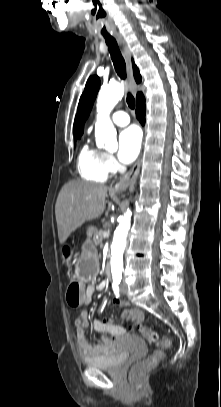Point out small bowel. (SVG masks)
<instances>
[{"mask_svg": "<svg viewBox=\"0 0 221 407\" xmlns=\"http://www.w3.org/2000/svg\"><path fill=\"white\" fill-rule=\"evenodd\" d=\"M95 291L96 287L93 284L86 286L84 290L85 297L82 303L83 305H87L91 302ZM113 302L121 307L128 306L127 302L117 297L113 300ZM137 311L139 310L135 309V312ZM139 312L142 313L141 311ZM74 324L76 327V343L78 350L81 357L85 360L94 359L109 354L115 348L116 340L126 334V329L121 325H118L109 319H96L93 323L94 328L97 332L103 335V339L101 344L91 345L85 337V329L89 325V315L87 311H82L75 319ZM132 325L129 327V330L134 329Z\"/></svg>", "mask_w": 221, "mask_h": 407, "instance_id": "c3829d8e", "label": "small bowel"}]
</instances>
